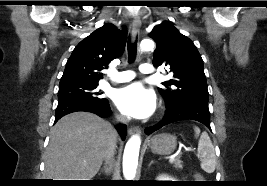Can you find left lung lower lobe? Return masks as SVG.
Returning <instances> with one entry per match:
<instances>
[{
    "label": "left lung lower lobe",
    "mask_w": 267,
    "mask_h": 186,
    "mask_svg": "<svg viewBox=\"0 0 267 186\" xmlns=\"http://www.w3.org/2000/svg\"><path fill=\"white\" fill-rule=\"evenodd\" d=\"M187 119L198 121L211 130L210 112L208 106L199 104H186L166 110L163 120L152 127L146 128L145 133L150 135L167 124Z\"/></svg>",
    "instance_id": "0a47b994"
}]
</instances>
